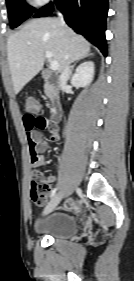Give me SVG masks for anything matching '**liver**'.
<instances>
[{
	"mask_svg": "<svg viewBox=\"0 0 134 281\" xmlns=\"http://www.w3.org/2000/svg\"><path fill=\"white\" fill-rule=\"evenodd\" d=\"M89 51L90 43L59 19L29 21L7 41L14 93L18 94L43 68L46 52H51L53 60L58 62L60 73L66 65L86 57Z\"/></svg>",
	"mask_w": 134,
	"mask_h": 281,
	"instance_id": "6515ba94",
	"label": "liver"
}]
</instances>
